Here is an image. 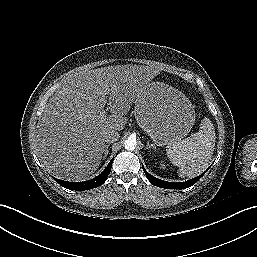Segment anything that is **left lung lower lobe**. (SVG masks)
I'll return each instance as SVG.
<instances>
[{"instance_id": "obj_1", "label": "left lung lower lobe", "mask_w": 257, "mask_h": 257, "mask_svg": "<svg viewBox=\"0 0 257 257\" xmlns=\"http://www.w3.org/2000/svg\"><path fill=\"white\" fill-rule=\"evenodd\" d=\"M143 170H144L149 182L154 186L165 188V189H186V188L194 185L205 174V172H207L208 169L204 173H202L201 175H199L193 179H190L185 182H177V183L160 180V179L155 178L152 175H150L144 168H143Z\"/></svg>"}]
</instances>
